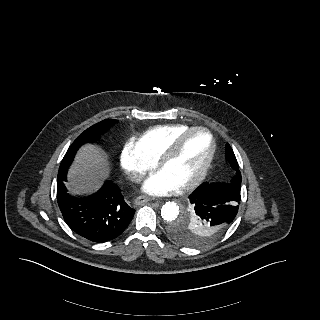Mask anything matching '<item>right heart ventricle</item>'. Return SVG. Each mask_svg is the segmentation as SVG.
Listing matches in <instances>:
<instances>
[{
  "label": "right heart ventricle",
  "mask_w": 320,
  "mask_h": 320,
  "mask_svg": "<svg viewBox=\"0 0 320 320\" xmlns=\"http://www.w3.org/2000/svg\"><path fill=\"white\" fill-rule=\"evenodd\" d=\"M189 128L187 124L158 125L143 132L134 143L144 156L155 162L170 143Z\"/></svg>",
  "instance_id": "right-heart-ventricle-1"
}]
</instances>
